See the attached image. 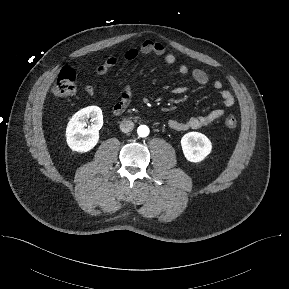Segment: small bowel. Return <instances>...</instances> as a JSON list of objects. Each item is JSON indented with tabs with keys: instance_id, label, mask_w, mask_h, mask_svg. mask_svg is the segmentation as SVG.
Returning a JSON list of instances; mask_svg holds the SVG:
<instances>
[{
	"instance_id": "obj_1",
	"label": "small bowel",
	"mask_w": 289,
	"mask_h": 289,
	"mask_svg": "<svg viewBox=\"0 0 289 289\" xmlns=\"http://www.w3.org/2000/svg\"><path fill=\"white\" fill-rule=\"evenodd\" d=\"M153 54L156 56L163 57L164 61L172 65L176 62V57L172 53H168L166 51L165 46L157 41L145 40L139 47H130L124 52V58L126 60L132 61L135 60L139 55H149ZM118 62L116 56H109L102 64H100L96 69V74L98 76H104L108 73V71L113 68ZM178 71L182 75H190L193 81L199 86H207L211 85L213 89L219 91L220 96L222 98V102L226 107H232L235 103V99L232 93L223 89V84L219 80H214L210 82L208 74L200 69V68H190L186 64H180L178 67ZM86 92L91 97H96L97 92L93 85L88 84L85 87ZM189 89L188 85H180L173 89V93L180 95L187 92ZM100 94L103 97H107V93L105 91H101ZM131 99V92L129 88H125L118 95V101L114 104L112 110L115 114H120L123 112L126 107L129 105ZM225 111L223 109H215L209 112L204 116H194L190 117L186 120L179 119H170L169 126L174 130H189V129H200L207 127L214 123L216 120L223 117Z\"/></svg>"
}]
</instances>
